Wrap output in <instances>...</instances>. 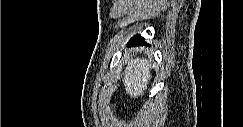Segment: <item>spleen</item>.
<instances>
[{
    "mask_svg": "<svg viewBox=\"0 0 243 127\" xmlns=\"http://www.w3.org/2000/svg\"><path fill=\"white\" fill-rule=\"evenodd\" d=\"M152 64L148 60H131L125 70L123 83L127 94L131 97L142 96L151 79L150 68Z\"/></svg>",
    "mask_w": 243,
    "mask_h": 127,
    "instance_id": "1",
    "label": "spleen"
}]
</instances>
